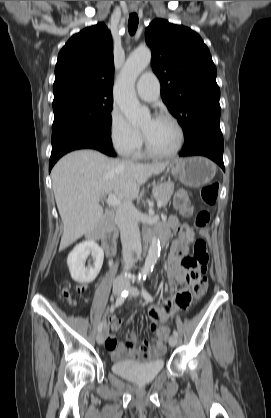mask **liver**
Masks as SVG:
<instances>
[{
    "label": "liver",
    "mask_w": 271,
    "mask_h": 418,
    "mask_svg": "<svg viewBox=\"0 0 271 418\" xmlns=\"http://www.w3.org/2000/svg\"><path fill=\"white\" fill-rule=\"evenodd\" d=\"M169 162L141 164L110 159L94 150L74 151L61 158L52 169V187L63 235L60 250L65 249L103 219L100 199L114 194L120 202L136 198L140 187Z\"/></svg>",
    "instance_id": "obj_1"
}]
</instances>
